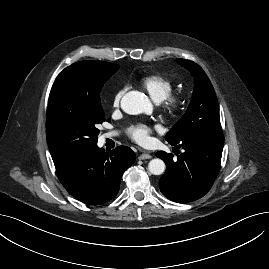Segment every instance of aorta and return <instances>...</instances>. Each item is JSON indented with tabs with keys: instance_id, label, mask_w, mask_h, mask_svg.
<instances>
[{
	"instance_id": "obj_1",
	"label": "aorta",
	"mask_w": 269,
	"mask_h": 269,
	"mask_svg": "<svg viewBox=\"0 0 269 269\" xmlns=\"http://www.w3.org/2000/svg\"><path fill=\"white\" fill-rule=\"evenodd\" d=\"M121 108L130 115L148 113L152 105L148 97L139 91L126 93L121 100ZM165 163L159 158L152 159L148 164V169L153 175H161L165 171Z\"/></svg>"
}]
</instances>
